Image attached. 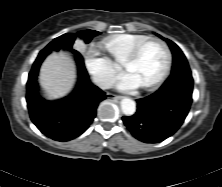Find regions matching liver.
<instances>
[{
  "label": "liver",
  "instance_id": "obj_1",
  "mask_svg": "<svg viewBox=\"0 0 222 187\" xmlns=\"http://www.w3.org/2000/svg\"><path fill=\"white\" fill-rule=\"evenodd\" d=\"M75 64L68 53H52L40 69V84L47 100L67 95L75 82Z\"/></svg>",
  "mask_w": 222,
  "mask_h": 187
}]
</instances>
